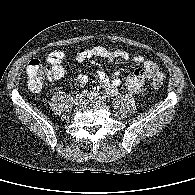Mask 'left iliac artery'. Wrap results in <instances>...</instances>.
Wrapping results in <instances>:
<instances>
[{
  "mask_svg": "<svg viewBox=\"0 0 195 195\" xmlns=\"http://www.w3.org/2000/svg\"><path fill=\"white\" fill-rule=\"evenodd\" d=\"M106 96H102V98L104 99Z\"/></svg>",
  "mask_w": 195,
  "mask_h": 195,
  "instance_id": "obj_1",
  "label": "left iliac artery"
}]
</instances>
